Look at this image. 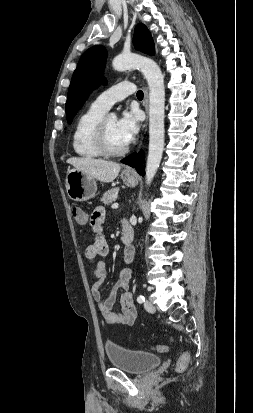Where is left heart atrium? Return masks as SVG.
<instances>
[{
  "instance_id": "1",
  "label": "left heart atrium",
  "mask_w": 253,
  "mask_h": 413,
  "mask_svg": "<svg viewBox=\"0 0 253 413\" xmlns=\"http://www.w3.org/2000/svg\"><path fill=\"white\" fill-rule=\"evenodd\" d=\"M139 131V117L135 111H125L116 121V132L124 145L133 141Z\"/></svg>"
}]
</instances>
